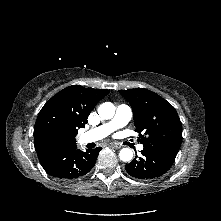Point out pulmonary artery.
I'll list each match as a JSON object with an SVG mask.
<instances>
[{"label":"pulmonary artery","mask_w":221,"mask_h":221,"mask_svg":"<svg viewBox=\"0 0 221 221\" xmlns=\"http://www.w3.org/2000/svg\"><path fill=\"white\" fill-rule=\"evenodd\" d=\"M132 118V109L125 104L117 106L114 117L108 123L93 128L80 135L83 143H90L101 140L111 134L113 131L124 127ZM138 150L143 149V145L137 146Z\"/></svg>","instance_id":"e3ab8cb5"}]
</instances>
